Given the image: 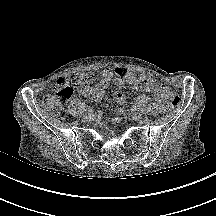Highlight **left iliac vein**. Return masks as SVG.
I'll list each match as a JSON object with an SVG mask.
<instances>
[{
  "mask_svg": "<svg viewBox=\"0 0 216 216\" xmlns=\"http://www.w3.org/2000/svg\"><path fill=\"white\" fill-rule=\"evenodd\" d=\"M131 117L133 120H140L142 118V115L138 111L131 112Z\"/></svg>",
  "mask_w": 216,
  "mask_h": 216,
  "instance_id": "obj_1",
  "label": "left iliac vein"
}]
</instances>
